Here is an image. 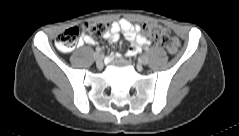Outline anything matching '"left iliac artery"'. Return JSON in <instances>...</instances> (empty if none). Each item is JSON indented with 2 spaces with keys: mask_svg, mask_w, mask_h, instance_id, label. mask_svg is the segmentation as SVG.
<instances>
[{
  "mask_svg": "<svg viewBox=\"0 0 239 136\" xmlns=\"http://www.w3.org/2000/svg\"><path fill=\"white\" fill-rule=\"evenodd\" d=\"M150 50V47H146V51H149Z\"/></svg>",
  "mask_w": 239,
  "mask_h": 136,
  "instance_id": "44dca946",
  "label": "left iliac artery"
}]
</instances>
